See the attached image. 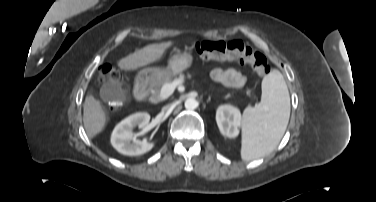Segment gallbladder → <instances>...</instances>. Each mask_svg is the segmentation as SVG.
<instances>
[{"label":"gallbladder","mask_w":376,"mask_h":202,"mask_svg":"<svg viewBox=\"0 0 376 202\" xmlns=\"http://www.w3.org/2000/svg\"><path fill=\"white\" fill-rule=\"evenodd\" d=\"M100 96L104 102H115L123 99V89L114 81L107 82L100 89Z\"/></svg>","instance_id":"bac80fb5"}]
</instances>
